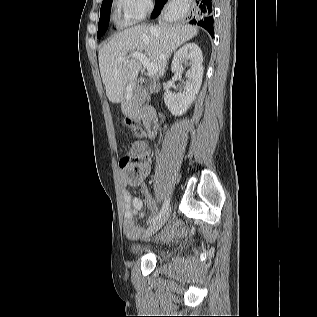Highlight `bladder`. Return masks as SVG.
<instances>
[{
  "instance_id": "31cf9c89",
  "label": "bladder",
  "mask_w": 317,
  "mask_h": 317,
  "mask_svg": "<svg viewBox=\"0 0 317 317\" xmlns=\"http://www.w3.org/2000/svg\"><path fill=\"white\" fill-rule=\"evenodd\" d=\"M146 254H152L153 256L157 258H165L167 255L166 252L162 248L150 249L144 245H138L132 248L133 256H143Z\"/></svg>"
}]
</instances>
